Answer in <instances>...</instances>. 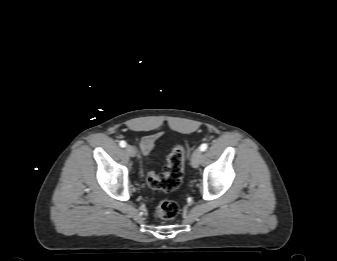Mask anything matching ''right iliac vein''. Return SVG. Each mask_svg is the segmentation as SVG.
<instances>
[{"mask_svg": "<svg viewBox=\"0 0 337 261\" xmlns=\"http://www.w3.org/2000/svg\"><path fill=\"white\" fill-rule=\"evenodd\" d=\"M125 151L126 153L131 156V157H134L136 155V150L133 146L131 145H127L126 148H125Z\"/></svg>", "mask_w": 337, "mask_h": 261, "instance_id": "1", "label": "right iliac vein"}]
</instances>
